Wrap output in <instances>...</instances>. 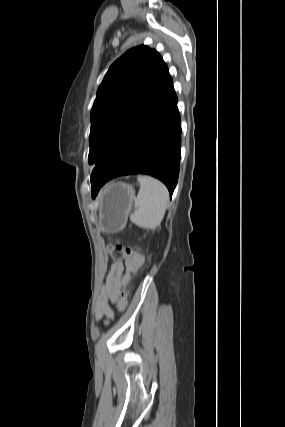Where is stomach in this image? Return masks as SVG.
I'll return each instance as SVG.
<instances>
[{"label":"stomach","instance_id":"obj_1","mask_svg":"<svg viewBox=\"0 0 285 427\" xmlns=\"http://www.w3.org/2000/svg\"><path fill=\"white\" fill-rule=\"evenodd\" d=\"M135 199L134 188L117 182L107 185L99 201V225L103 232L116 233L122 230Z\"/></svg>","mask_w":285,"mask_h":427}]
</instances>
